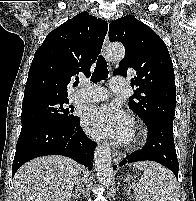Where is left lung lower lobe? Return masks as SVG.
Masks as SVG:
<instances>
[{
  "mask_svg": "<svg viewBox=\"0 0 196 201\" xmlns=\"http://www.w3.org/2000/svg\"><path fill=\"white\" fill-rule=\"evenodd\" d=\"M172 125L173 122L158 121L147 126L148 138L145 146L138 152L126 156L119 166L144 160L155 161L169 168L178 178L179 163L174 145Z\"/></svg>",
  "mask_w": 196,
  "mask_h": 201,
  "instance_id": "left-lung-lower-lobe-1",
  "label": "left lung lower lobe"
}]
</instances>
